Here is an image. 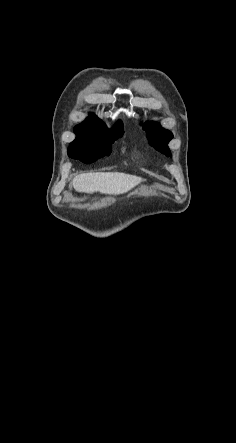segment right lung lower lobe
Listing matches in <instances>:
<instances>
[{
	"label": "right lung lower lobe",
	"mask_w": 236,
	"mask_h": 443,
	"mask_svg": "<svg viewBox=\"0 0 236 443\" xmlns=\"http://www.w3.org/2000/svg\"><path fill=\"white\" fill-rule=\"evenodd\" d=\"M111 151H102L92 147H77L68 149V156L79 159L84 163H92L99 158L109 155Z\"/></svg>",
	"instance_id": "1"
}]
</instances>
